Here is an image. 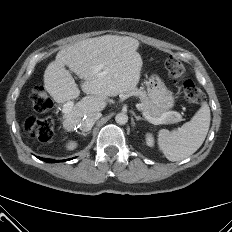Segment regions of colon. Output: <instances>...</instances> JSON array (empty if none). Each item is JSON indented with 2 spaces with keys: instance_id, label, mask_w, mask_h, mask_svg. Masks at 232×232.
<instances>
[{
  "instance_id": "1",
  "label": "colon",
  "mask_w": 232,
  "mask_h": 232,
  "mask_svg": "<svg viewBox=\"0 0 232 232\" xmlns=\"http://www.w3.org/2000/svg\"><path fill=\"white\" fill-rule=\"evenodd\" d=\"M165 68L173 81L182 84L183 96L187 102L198 104L205 99V94L199 85L186 77V67L180 60L175 57L167 58ZM30 100L35 112L39 114L47 112L53 107L52 99L40 85L32 88ZM25 129L31 137L45 143L52 139L54 122L50 118H38L37 116L31 115L25 121Z\"/></svg>"
}]
</instances>
